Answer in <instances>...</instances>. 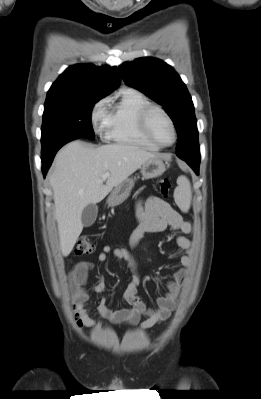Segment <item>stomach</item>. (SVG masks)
<instances>
[{"mask_svg":"<svg viewBox=\"0 0 261 399\" xmlns=\"http://www.w3.org/2000/svg\"><path fill=\"white\" fill-rule=\"evenodd\" d=\"M143 179L156 178L166 170L165 164L159 157L151 158L140 167ZM135 178H127L119 185L115 186L110 193L107 204L109 207H115L123 203L130 195L134 187Z\"/></svg>","mask_w":261,"mask_h":399,"instance_id":"obj_1","label":"stomach"}]
</instances>
